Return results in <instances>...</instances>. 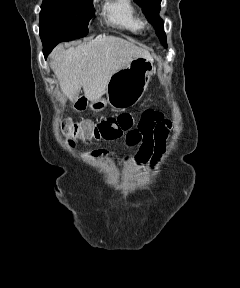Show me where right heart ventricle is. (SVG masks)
<instances>
[{
  "instance_id": "right-heart-ventricle-1",
  "label": "right heart ventricle",
  "mask_w": 240,
  "mask_h": 288,
  "mask_svg": "<svg viewBox=\"0 0 240 288\" xmlns=\"http://www.w3.org/2000/svg\"><path fill=\"white\" fill-rule=\"evenodd\" d=\"M106 21L115 27L138 34L143 22L132 0H109L103 8Z\"/></svg>"
}]
</instances>
